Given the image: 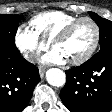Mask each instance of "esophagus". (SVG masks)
Here are the masks:
<instances>
[{"mask_svg": "<svg viewBox=\"0 0 112 112\" xmlns=\"http://www.w3.org/2000/svg\"><path fill=\"white\" fill-rule=\"evenodd\" d=\"M39 74H40V77L43 78L44 75H45V68L44 67H40L39 68Z\"/></svg>", "mask_w": 112, "mask_h": 112, "instance_id": "1", "label": "esophagus"}]
</instances>
